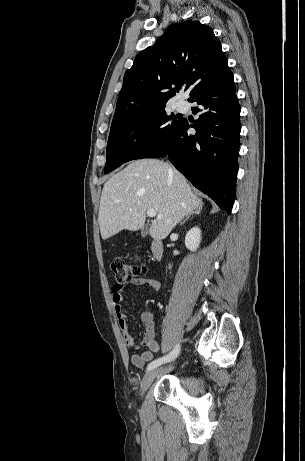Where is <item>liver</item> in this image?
Returning a JSON list of instances; mask_svg holds the SVG:
<instances>
[{
  "instance_id": "6515ba94",
  "label": "liver",
  "mask_w": 305,
  "mask_h": 461,
  "mask_svg": "<svg viewBox=\"0 0 305 461\" xmlns=\"http://www.w3.org/2000/svg\"><path fill=\"white\" fill-rule=\"evenodd\" d=\"M202 206L180 172L160 160H137L104 184L98 214L101 237L106 240L124 229H141L146 211L154 209L162 218L153 220L149 234L161 240L184 216Z\"/></svg>"
}]
</instances>
